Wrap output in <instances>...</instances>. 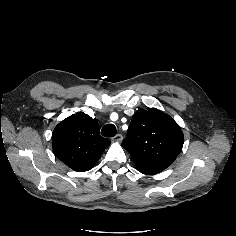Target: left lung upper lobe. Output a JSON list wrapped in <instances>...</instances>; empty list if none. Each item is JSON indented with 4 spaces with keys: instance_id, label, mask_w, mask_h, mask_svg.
<instances>
[{
    "instance_id": "1",
    "label": "left lung upper lobe",
    "mask_w": 236,
    "mask_h": 236,
    "mask_svg": "<svg viewBox=\"0 0 236 236\" xmlns=\"http://www.w3.org/2000/svg\"><path fill=\"white\" fill-rule=\"evenodd\" d=\"M183 142V133L170 116L156 108H140L132 118L122 146L139 172L153 175L174 162Z\"/></svg>"
}]
</instances>
